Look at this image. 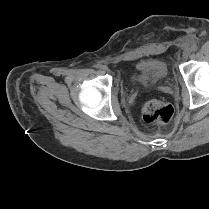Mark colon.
<instances>
[{"label": "colon", "instance_id": "colon-1", "mask_svg": "<svg viewBox=\"0 0 209 209\" xmlns=\"http://www.w3.org/2000/svg\"><path fill=\"white\" fill-rule=\"evenodd\" d=\"M141 114L147 123L164 125L171 121L174 110L172 106L162 101L150 100L142 106Z\"/></svg>", "mask_w": 209, "mask_h": 209}]
</instances>
